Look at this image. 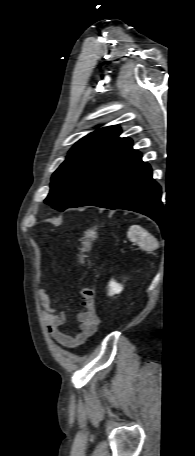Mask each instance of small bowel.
<instances>
[{
	"label": "small bowel",
	"instance_id": "obj_1",
	"mask_svg": "<svg viewBox=\"0 0 195 456\" xmlns=\"http://www.w3.org/2000/svg\"><path fill=\"white\" fill-rule=\"evenodd\" d=\"M40 300L41 316L51 337L65 348H75L84 343L97 330L99 319L95 307L94 291L84 288L81 291V304L83 311L77 315L80 323L79 329L70 334L61 330L66 322V315L63 311H56L51 306L50 297L43 288L37 290Z\"/></svg>",
	"mask_w": 195,
	"mask_h": 456
}]
</instances>
